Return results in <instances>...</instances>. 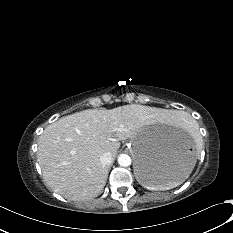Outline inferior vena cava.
<instances>
[{
    "instance_id": "inferior-vena-cava-1",
    "label": "inferior vena cava",
    "mask_w": 233,
    "mask_h": 233,
    "mask_svg": "<svg viewBox=\"0 0 233 233\" xmlns=\"http://www.w3.org/2000/svg\"><path fill=\"white\" fill-rule=\"evenodd\" d=\"M100 162L103 165H110L113 162L112 154L110 152H105L100 156Z\"/></svg>"
}]
</instances>
